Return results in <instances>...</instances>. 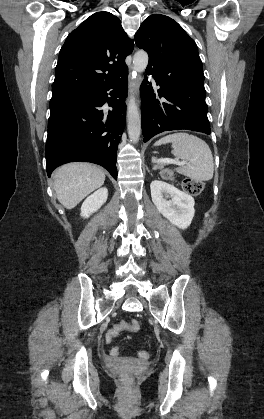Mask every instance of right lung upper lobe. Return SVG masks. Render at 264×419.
I'll use <instances>...</instances> for the list:
<instances>
[{"instance_id": "1", "label": "right lung upper lobe", "mask_w": 264, "mask_h": 419, "mask_svg": "<svg viewBox=\"0 0 264 419\" xmlns=\"http://www.w3.org/2000/svg\"><path fill=\"white\" fill-rule=\"evenodd\" d=\"M134 42L120 19L97 12L72 31L62 46L55 69L52 97L92 91L112 83L128 70L125 58Z\"/></svg>"}]
</instances>
